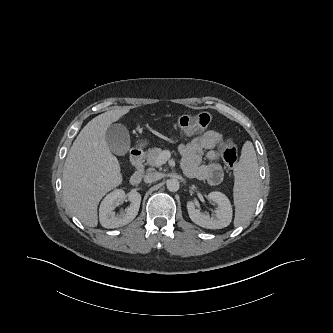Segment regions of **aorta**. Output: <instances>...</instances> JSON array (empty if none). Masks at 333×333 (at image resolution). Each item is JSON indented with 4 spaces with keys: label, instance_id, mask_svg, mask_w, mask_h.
Returning a JSON list of instances; mask_svg holds the SVG:
<instances>
[{
    "label": "aorta",
    "instance_id": "aorta-1",
    "mask_svg": "<svg viewBox=\"0 0 333 333\" xmlns=\"http://www.w3.org/2000/svg\"><path fill=\"white\" fill-rule=\"evenodd\" d=\"M167 189L171 192H176L179 190L180 184L177 179H169L166 183Z\"/></svg>",
    "mask_w": 333,
    "mask_h": 333
}]
</instances>
